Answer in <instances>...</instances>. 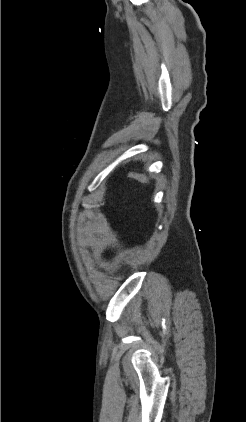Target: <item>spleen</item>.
<instances>
[{
  "instance_id": "obj_1",
  "label": "spleen",
  "mask_w": 246,
  "mask_h": 422,
  "mask_svg": "<svg viewBox=\"0 0 246 422\" xmlns=\"http://www.w3.org/2000/svg\"><path fill=\"white\" fill-rule=\"evenodd\" d=\"M128 177L130 178H134L136 180H138L141 183H148V178L143 175V174H138V173H128Z\"/></svg>"
}]
</instances>
